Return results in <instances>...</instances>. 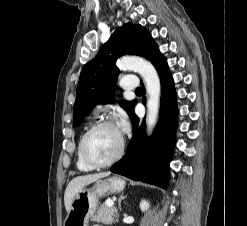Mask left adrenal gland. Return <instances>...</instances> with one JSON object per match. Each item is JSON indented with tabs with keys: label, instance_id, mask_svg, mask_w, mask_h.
<instances>
[{
	"label": "left adrenal gland",
	"instance_id": "left-adrenal-gland-1",
	"mask_svg": "<svg viewBox=\"0 0 247 226\" xmlns=\"http://www.w3.org/2000/svg\"><path fill=\"white\" fill-rule=\"evenodd\" d=\"M126 198V195L124 196L123 194L120 195V198L118 200V208L121 210V201Z\"/></svg>",
	"mask_w": 247,
	"mask_h": 226
}]
</instances>
